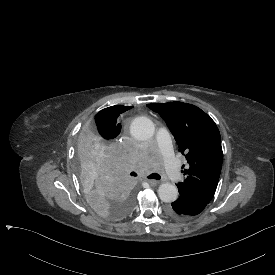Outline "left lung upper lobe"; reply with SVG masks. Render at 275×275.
<instances>
[{
  "label": "left lung upper lobe",
  "instance_id": "obj_1",
  "mask_svg": "<svg viewBox=\"0 0 275 275\" xmlns=\"http://www.w3.org/2000/svg\"><path fill=\"white\" fill-rule=\"evenodd\" d=\"M147 106L165 120L179 151L189 163V167L182 171L186 178L177 184L178 190L190 191L210 202L217 188L223 159L216 124L205 112L191 104L174 101Z\"/></svg>",
  "mask_w": 275,
  "mask_h": 275
}]
</instances>
